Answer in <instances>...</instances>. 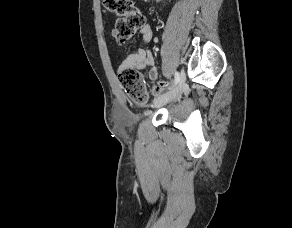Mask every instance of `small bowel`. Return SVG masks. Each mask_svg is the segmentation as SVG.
I'll list each match as a JSON object with an SVG mask.
<instances>
[{"label":"small bowel","mask_w":292,"mask_h":228,"mask_svg":"<svg viewBox=\"0 0 292 228\" xmlns=\"http://www.w3.org/2000/svg\"><path fill=\"white\" fill-rule=\"evenodd\" d=\"M142 36V40L145 44H149L153 39L152 27L149 24H145L139 29ZM127 68H134L137 70L148 69L149 78L153 81H158L159 74L157 67L155 65L154 57L149 48H139L135 52L128 55L119 65L118 70L122 71ZM166 82H158L152 87V93L156 96L154 102H156L157 97L166 88Z\"/></svg>","instance_id":"small-bowel-1"}]
</instances>
